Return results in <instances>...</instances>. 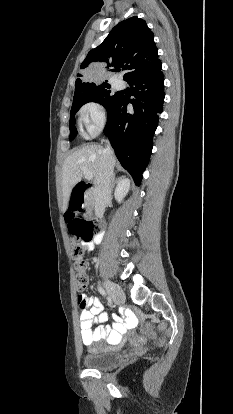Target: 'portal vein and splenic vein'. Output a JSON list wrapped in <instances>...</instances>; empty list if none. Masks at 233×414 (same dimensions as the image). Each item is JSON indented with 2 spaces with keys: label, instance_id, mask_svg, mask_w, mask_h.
<instances>
[{
  "label": "portal vein and splenic vein",
  "instance_id": "1",
  "mask_svg": "<svg viewBox=\"0 0 233 414\" xmlns=\"http://www.w3.org/2000/svg\"><path fill=\"white\" fill-rule=\"evenodd\" d=\"M85 178H86L87 180H91V179L93 178V176H92V174H91V173H85Z\"/></svg>",
  "mask_w": 233,
  "mask_h": 414
}]
</instances>
